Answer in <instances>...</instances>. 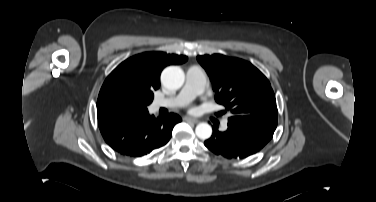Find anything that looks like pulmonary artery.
I'll return each mask as SVG.
<instances>
[{
    "label": "pulmonary artery",
    "instance_id": "obj_1",
    "mask_svg": "<svg viewBox=\"0 0 376 202\" xmlns=\"http://www.w3.org/2000/svg\"><path fill=\"white\" fill-rule=\"evenodd\" d=\"M204 86V70L198 65H193L186 72V82L181 91L173 97L156 99L153 106L155 109L183 107L201 94ZM224 126H227V122H224Z\"/></svg>",
    "mask_w": 376,
    "mask_h": 202
}]
</instances>
